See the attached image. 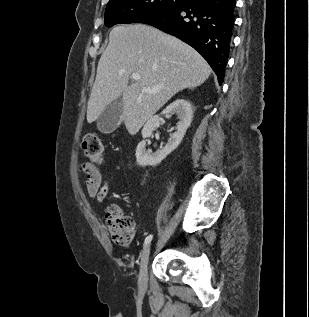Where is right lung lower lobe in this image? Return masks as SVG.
I'll return each mask as SVG.
<instances>
[{
  "mask_svg": "<svg viewBox=\"0 0 309 317\" xmlns=\"http://www.w3.org/2000/svg\"><path fill=\"white\" fill-rule=\"evenodd\" d=\"M235 5V0H186L135 22L152 25L192 46L210 64L221 85L233 35Z\"/></svg>",
  "mask_w": 309,
  "mask_h": 317,
  "instance_id": "1",
  "label": "right lung lower lobe"
}]
</instances>
